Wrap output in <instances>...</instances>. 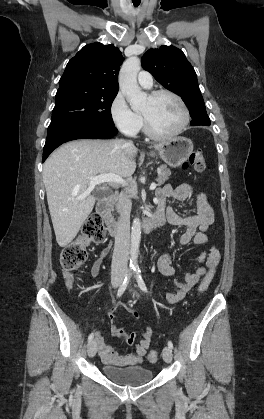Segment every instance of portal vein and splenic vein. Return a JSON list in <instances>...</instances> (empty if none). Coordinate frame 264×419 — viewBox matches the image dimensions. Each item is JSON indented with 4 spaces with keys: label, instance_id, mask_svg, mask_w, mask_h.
<instances>
[{
    "label": "portal vein and splenic vein",
    "instance_id": "18ae733b",
    "mask_svg": "<svg viewBox=\"0 0 264 419\" xmlns=\"http://www.w3.org/2000/svg\"><path fill=\"white\" fill-rule=\"evenodd\" d=\"M89 180H90L89 190L92 189L97 184H101V183H114V184H121L123 186L127 185V182L122 177L115 175L113 173L90 177ZM155 188H156V184L152 183L150 185V190H154Z\"/></svg>",
    "mask_w": 264,
    "mask_h": 419
}]
</instances>
